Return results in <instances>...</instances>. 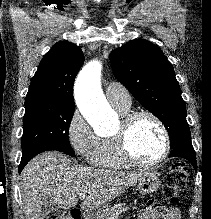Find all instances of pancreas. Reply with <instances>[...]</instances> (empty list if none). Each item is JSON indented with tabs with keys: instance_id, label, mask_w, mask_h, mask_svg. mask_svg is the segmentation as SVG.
I'll use <instances>...</instances> for the list:
<instances>
[{
	"instance_id": "obj_1",
	"label": "pancreas",
	"mask_w": 211,
	"mask_h": 219,
	"mask_svg": "<svg viewBox=\"0 0 211 219\" xmlns=\"http://www.w3.org/2000/svg\"><path fill=\"white\" fill-rule=\"evenodd\" d=\"M130 206L125 203L115 204L106 214L102 215L99 219H118V217L126 212Z\"/></svg>"
}]
</instances>
